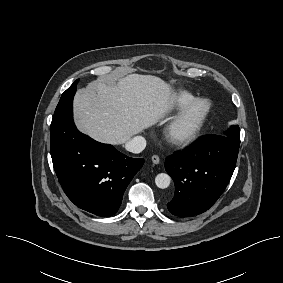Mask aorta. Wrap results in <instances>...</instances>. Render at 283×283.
I'll return each instance as SVG.
<instances>
[{
  "label": "aorta",
  "mask_w": 283,
  "mask_h": 283,
  "mask_svg": "<svg viewBox=\"0 0 283 283\" xmlns=\"http://www.w3.org/2000/svg\"><path fill=\"white\" fill-rule=\"evenodd\" d=\"M171 177L166 173H160L155 177V184L158 188L165 189L169 187Z\"/></svg>",
  "instance_id": "aorta-1"
}]
</instances>
